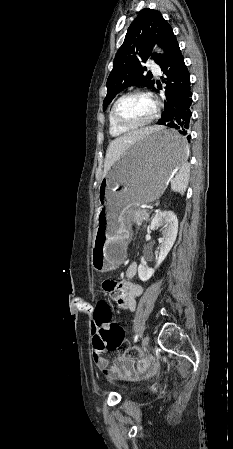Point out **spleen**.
<instances>
[{
	"label": "spleen",
	"instance_id": "obj_1",
	"mask_svg": "<svg viewBox=\"0 0 233 449\" xmlns=\"http://www.w3.org/2000/svg\"><path fill=\"white\" fill-rule=\"evenodd\" d=\"M190 168L187 163H183L180 166L179 173L171 181V189L174 192H178L181 195L184 194L189 181Z\"/></svg>",
	"mask_w": 233,
	"mask_h": 449
}]
</instances>
